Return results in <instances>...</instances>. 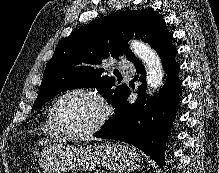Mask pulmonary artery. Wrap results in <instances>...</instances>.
Listing matches in <instances>:
<instances>
[{
	"instance_id": "obj_1",
	"label": "pulmonary artery",
	"mask_w": 219,
	"mask_h": 173,
	"mask_svg": "<svg viewBox=\"0 0 219 173\" xmlns=\"http://www.w3.org/2000/svg\"><path fill=\"white\" fill-rule=\"evenodd\" d=\"M117 65H118L119 70L124 74H128L133 71L132 63H130L127 60H120L117 62Z\"/></svg>"
}]
</instances>
